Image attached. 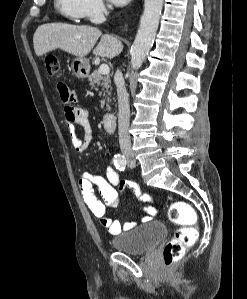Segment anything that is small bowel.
Listing matches in <instances>:
<instances>
[{
  "label": "small bowel",
  "instance_id": "c3829d8e",
  "mask_svg": "<svg viewBox=\"0 0 247 299\" xmlns=\"http://www.w3.org/2000/svg\"><path fill=\"white\" fill-rule=\"evenodd\" d=\"M57 89L61 101L65 105L64 120L72 147L76 153L83 154L94 138L89 113L78 105L75 92L66 84L59 83ZM77 126L82 130V136L77 134ZM133 186L138 188L134 183L127 184L122 182L117 171L111 166L106 168L105 179L85 172L78 181V187L84 203L112 235H118L122 230L132 229L136 225V222H127L121 225L117 219L107 215L108 210L118 208L121 200L120 191H123L126 187L132 189ZM95 188L98 189L102 199L96 195ZM134 196L141 202L152 201V197L147 193H134ZM143 210L147 213L143 217V221L151 220L158 213L157 209L151 206L144 207Z\"/></svg>",
  "mask_w": 247,
  "mask_h": 299
}]
</instances>
